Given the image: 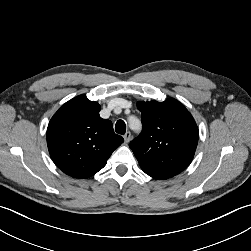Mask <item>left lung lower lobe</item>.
Segmentation results:
<instances>
[{
    "label": "left lung lower lobe",
    "instance_id": "1",
    "mask_svg": "<svg viewBox=\"0 0 251 251\" xmlns=\"http://www.w3.org/2000/svg\"><path fill=\"white\" fill-rule=\"evenodd\" d=\"M149 176H151V177H153L155 179H168V178H170V177H167V176H158V175H149Z\"/></svg>",
    "mask_w": 251,
    "mask_h": 251
}]
</instances>
